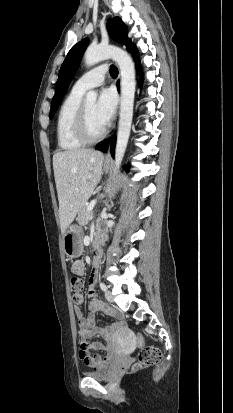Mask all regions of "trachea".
<instances>
[{
	"mask_svg": "<svg viewBox=\"0 0 233 413\" xmlns=\"http://www.w3.org/2000/svg\"><path fill=\"white\" fill-rule=\"evenodd\" d=\"M110 75L112 77H116L118 75V69L114 65L110 66Z\"/></svg>",
	"mask_w": 233,
	"mask_h": 413,
	"instance_id": "1",
	"label": "trachea"
}]
</instances>
